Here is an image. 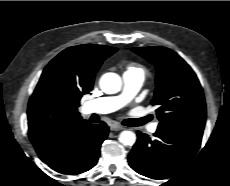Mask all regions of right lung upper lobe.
Listing matches in <instances>:
<instances>
[{"label": "right lung upper lobe", "mask_w": 230, "mask_h": 186, "mask_svg": "<svg viewBox=\"0 0 230 186\" xmlns=\"http://www.w3.org/2000/svg\"><path fill=\"white\" fill-rule=\"evenodd\" d=\"M117 48L84 44L65 49L45 67L28 104V134L34 147L85 120L77 108L102 62Z\"/></svg>", "instance_id": "1"}]
</instances>
